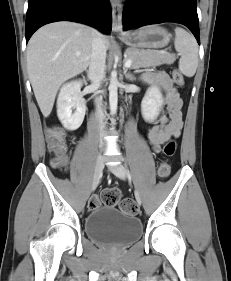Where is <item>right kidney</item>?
<instances>
[{
    "instance_id": "1",
    "label": "right kidney",
    "mask_w": 231,
    "mask_h": 281,
    "mask_svg": "<svg viewBox=\"0 0 231 281\" xmlns=\"http://www.w3.org/2000/svg\"><path fill=\"white\" fill-rule=\"evenodd\" d=\"M81 86V80L71 81L63 85L58 95L57 116L67 130L78 129L85 117L86 101Z\"/></svg>"
}]
</instances>
